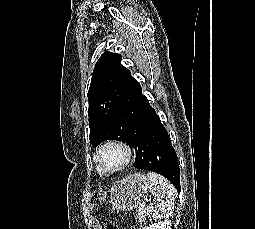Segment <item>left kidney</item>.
<instances>
[{"label": "left kidney", "mask_w": 255, "mask_h": 229, "mask_svg": "<svg viewBox=\"0 0 255 229\" xmlns=\"http://www.w3.org/2000/svg\"><path fill=\"white\" fill-rule=\"evenodd\" d=\"M171 221L170 220H164L162 222L153 223L150 226H146L143 229H171Z\"/></svg>", "instance_id": "1"}]
</instances>
